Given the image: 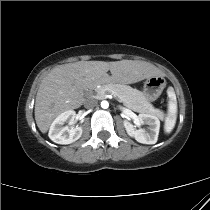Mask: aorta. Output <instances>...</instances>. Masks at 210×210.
Here are the masks:
<instances>
[{"label": "aorta", "mask_w": 210, "mask_h": 210, "mask_svg": "<svg viewBox=\"0 0 210 210\" xmlns=\"http://www.w3.org/2000/svg\"><path fill=\"white\" fill-rule=\"evenodd\" d=\"M101 107L103 109H107L109 107V103L106 100H104V101L101 102Z\"/></svg>", "instance_id": "1"}]
</instances>
